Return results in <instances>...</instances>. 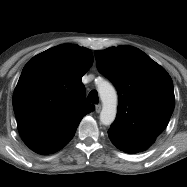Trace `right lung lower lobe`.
<instances>
[{
  "label": "right lung lower lobe",
  "instance_id": "1",
  "mask_svg": "<svg viewBox=\"0 0 187 187\" xmlns=\"http://www.w3.org/2000/svg\"><path fill=\"white\" fill-rule=\"evenodd\" d=\"M71 139H72V138H70V140H71ZM70 140H69V141H70ZM69 141L65 142V144H64L62 147H64ZM62 147H61V148H62ZM61 148H60V149H61Z\"/></svg>",
  "mask_w": 187,
  "mask_h": 187
}]
</instances>
